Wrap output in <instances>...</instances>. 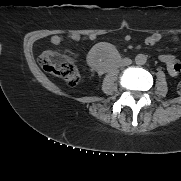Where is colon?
<instances>
[{
	"mask_svg": "<svg viewBox=\"0 0 181 181\" xmlns=\"http://www.w3.org/2000/svg\"><path fill=\"white\" fill-rule=\"evenodd\" d=\"M40 65L49 74L63 79L69 85H76L79 81L77 66L65 56L46 51L40 55ZM178 91L181 93V82L178 84Z\"/></svg>",
	"mask_w": 181,
	"mask_h": 181,
	"instance_id": "obj_1",
	"label": "colon"
}]
</instances>
